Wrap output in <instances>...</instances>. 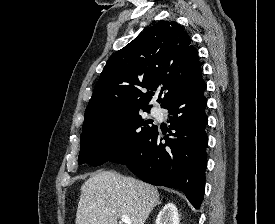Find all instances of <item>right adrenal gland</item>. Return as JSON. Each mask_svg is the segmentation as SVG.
<instances>
[{
	"instance_id": "obj_1",
	"label": "right adrenal gland",
	"mask_w": 275,
	"mask_h": 224,
	"mask_svg": "<svg viewBox=\"0 0 275 224\" xmlns=\"http://www.w3.org/2000/svg\"><path fill=\"white\" fill-rule=\"evenodd\" d=\"M160 203H161V202H160V201H158V202H157V205H160Z\"/></svg>"
}]
</instances>
